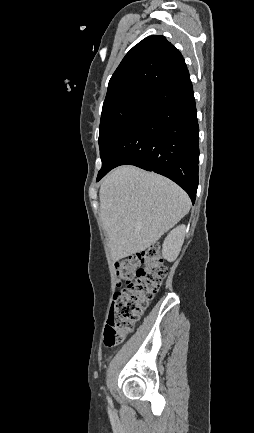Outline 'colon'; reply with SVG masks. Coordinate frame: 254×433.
I'll return each instance as SVG.
<instances>
[{
    "label": "colon",
    "mask_w": 254,
    "mask_h": 433,
    "mask_svg": "<svg viewBox=\"0 0 254 433\" xmlns=\"http://www.w3.org/2000/svg\"><path fill=\"white\" fill-rule=\"evenodd\" d=\"M156 246L130 255L116 264L118 283L123 288L114 298L104 333L107 348L119 345L133 330L166 275Z\"/></svg>",
    "instance_id": "1"
}]
</instances>
